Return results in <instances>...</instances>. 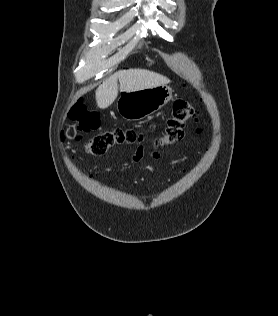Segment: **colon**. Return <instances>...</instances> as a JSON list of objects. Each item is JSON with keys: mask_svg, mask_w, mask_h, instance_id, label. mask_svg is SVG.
Returning a JSON list of instances; mask_svg holds the SVG:
<instances>
[{"mask_svg": "<svg viewBox=\"0 0 278 316\" xmlns=\"http://www.w3.org/2000/svg\"><path fill=\"white\" fill-rule=\"evenodd\" d=\"M70 118L82 132L95 131L100 127V118L96 113L89 112L82 100L77 101L71 111ZM197 120L192 105L183 100H176L172 112L166 121L163 134L155 141L159 145H171L183 140L186 136V124ZM147 136L133 128H114L95 135L87 145V151L93 156L105 154L109 149L123 144H143Z\"/></svg>", "mask_w": 278, "mask_h": 316, "instance_id": "5ec220e1", "label": "colon"}]
</instances>
